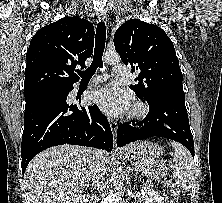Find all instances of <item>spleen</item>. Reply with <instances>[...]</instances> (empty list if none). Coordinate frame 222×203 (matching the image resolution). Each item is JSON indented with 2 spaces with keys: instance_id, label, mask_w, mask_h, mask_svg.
Wrapping results in <instances>:
<instances>
[{
  "instance_id": "obj_1",
  "label": "spleen",
  "mask_w": 222,
  "mask_h": 203,
  "mask_svg": "<svg viewBox=\"0 0 222 203\" xmlns=\"http://www.w3.org/2000/svg\"><path fill=\"white\" fill-rule=\"evenodd\" d=\"M175 154L173 162L176 165L173 171V177L176 183L184 191H189L193 181L195 180V167L189 151L178 142H171Z\"/></svg>"
}]
</instances>
